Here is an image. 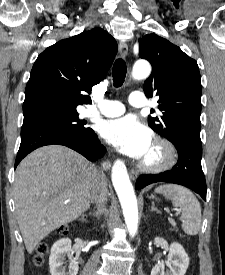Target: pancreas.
<instances>
[{
    "label": "pancreas",
    "mask_w": 225,
    "mask_h": 275,
    "mask_svg": "<svg viewBox=\"0 0 225 275\" xmlns=\"http://www.w3.org/2000/svg\"><path fill=\"white\" fill-rule=\"evenodd\" d=\"M169 222H170V224L172 225V226H176V223H175V221L174 220H172V219H169Z\"/></svg>",
    "instance_id": "pancreas-1"
}]
</instances>
